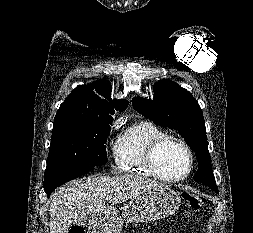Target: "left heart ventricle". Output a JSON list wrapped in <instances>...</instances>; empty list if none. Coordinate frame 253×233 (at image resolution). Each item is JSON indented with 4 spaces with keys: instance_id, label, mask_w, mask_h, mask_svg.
Masks as SVG:
<instances>
[{
    "instance_id": "b2bd125f",
    "label": "left heart ventricle",
    "mask_w": 253,
    "mask_h": 233,
    "mask_svg": "<svg viewBox=\"0 0 253 233\" xmlns=\"http://www.w3.org/2000/svg\"><path fill=\"white\" fill-rule=\"evenodd\" d=\"M158 166L161 172L170 177H178L185 174L189 167V158L186 151L176 145L165 147L158 155Z\"/></svg>"
}]
</instances>
